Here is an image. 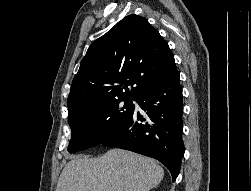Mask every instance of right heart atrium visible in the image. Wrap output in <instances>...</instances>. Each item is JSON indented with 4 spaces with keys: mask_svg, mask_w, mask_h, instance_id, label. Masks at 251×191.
<instances>
[{
    "mask_svg": "<svg viewBox=\"0 0 251 191\" xmlns=\"http://www.w3.org/2000/svg\"><path fill=\"white\" fill-rule=\"evenodd\" d=\"M107 119L101 113H93L90 116V126L94 133L100 134L104 131L106 127Z\"/></svg>",
    "mask_w": 251,
    "mask_h": 191,
    "instance_id": "right-heart-atrium-1",
    "label": "right heart atrium"
}]
</instances>
